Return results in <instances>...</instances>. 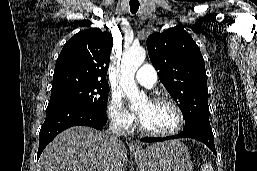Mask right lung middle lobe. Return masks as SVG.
I'll return each mask as SVG.
<instances>
[{"label": "right lung middle lobe", "instance_id": "dd1d6c3e", "mask_svg": "<svg viewBox=\"0 0 257 171\" xmlns=\"http://www.w3.org/2000/svg\"><path fill=\"white\" fill-rule=\"evenodd\" d=\"M109 86L107 83H76L51 90L49 105L79 103L106 114Z\"/></svg>", "mask_w": 257, "mask_h": 171}]
</instances>
